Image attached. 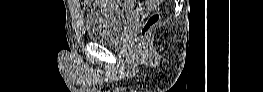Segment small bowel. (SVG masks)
Listing matches in <instances>:
<instances>
[{
	"mask_svg": "<svg viewBox=\"0 0 263 92\" xmlns=\"http://www.w3.org/2000/svg\"><path fill=\"white\" fill-rule=\"evenodd\" d=\"M152 2H159V1H152ZM73 3H74L75 9L78 10L79 9V2L78 1H73Z\"/></svg>",
	"mask_w": 263,
	"mask_h": 92,
	"instance_id": "c3829d8e",
	"label": "small bowel"
}]
</instances>
